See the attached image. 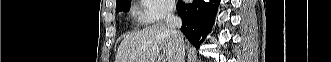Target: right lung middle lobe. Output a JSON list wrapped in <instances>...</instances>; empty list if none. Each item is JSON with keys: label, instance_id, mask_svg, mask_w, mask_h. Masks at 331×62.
Masks as SVG:
<instances>
[{"label": "right lung middle lobe", "instance_id": "1", "mask_svg": "<svg viewBox=\"0 0 331 62\" xmlns=\"http://www.w3.org/2000/svg\"><path fill=\"white\" fill-rule=\"evenodd\" d=\"M130 9V2L128 0H121L116 3V11L127 12Z\"/></svg>", "mask_w": 331, "mask_h": 62}]
</instances>
